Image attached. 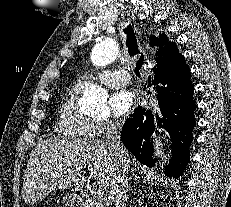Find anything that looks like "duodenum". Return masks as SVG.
I'll return each instance as SVG.
<instances>
[{"label":"duodenum","mask_w":231,"mask_h":207,"mask_svg":"<svg viewBox=\"0 0 231 207\" xmlns=\"http://www.w3.org/2000/svg\"><path fill=\"white\" fill-rule=\"evenodd\" d=\"M77 199L83 207H93L91 196L85 192L77 193Z\"/></svg>","instance_id":"duodenum-1"}]
</instances>
